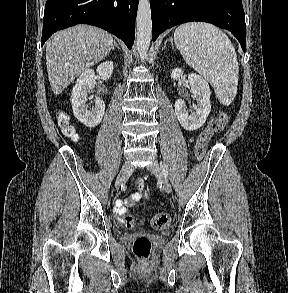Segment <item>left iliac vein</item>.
Instances as JSON below:
<instances>
[{
    "instance_id": "4c4485c4",
    "label": "left iliac vein",
    "mask_w": 288,
    "mask_h": 293,
    "mask_svg": "<svg viewBox=\"0 0 288 293\" xmlns=\"http://www.w3.org/2000/svg\"><path fill=\"white\" fill-rule=\"evenodd\" d=\"M147 169L153 173L154 175H156L158 178L161 179L162 183H163V189L166 193H171L172 191V187L171 184L169 183V181L166 179V177L164 176L161 166L159 165V163L156 160H153L148 166Z\"/></svg>"
}]
</instances>
